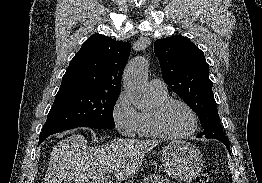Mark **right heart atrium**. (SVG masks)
Returning <instances> with one entry per match:
<instances>
[{
    "mask_svg": "<svg viewBox=\"0 0 262 183\" xmlns=\"http://www.w3.org/2000/svg\"><path fill=\"white\" fill-rule=\"evenodd\" d=\"M111 117L119 134L133 136L137 133L139 112L124 93L116 98L111 109Z\"/></svg>",
    "mask_w": 262,
    "mask_h": 183,
    "instance_id": "d8ad5b80",
    "label": "right heart atrium"
}]
</instances>
